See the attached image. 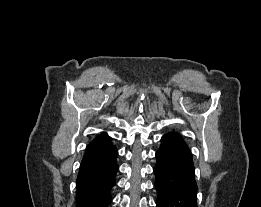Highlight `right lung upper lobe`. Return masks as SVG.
I'll return each instance as SVG.
<instances>
[{
	"label": "right lung upper lobe",
	"mask_w": 261,
	"mask_h": 207,
	"mask_svg": "<svg viewBox=\"0 0 261 207\" xmlns=\"http://www.w3.org/2000/svg\"><path fill=\"white\" fill-rule=\"evenodd\" d=\"M106 137H108L107 134L103 132V133H101L100 136L95 137L90 144H92V143H94V142H97V141H99V140H102V139H104V138H106Z\"/></svg>",
	"instance_id": "cb5924a9"
}]
</instances>
